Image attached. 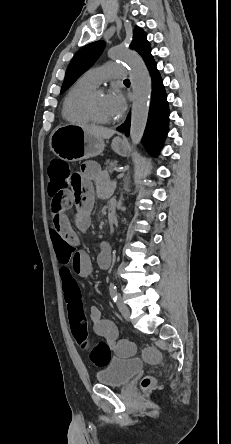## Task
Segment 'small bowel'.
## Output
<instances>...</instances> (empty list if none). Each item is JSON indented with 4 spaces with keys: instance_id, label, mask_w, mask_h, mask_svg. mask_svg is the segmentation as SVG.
<instances>
[{
    "instance_id": "obj_1",
    "label": "small bowel",
    "mask_w": 231,
    "mask_h": 444,
    "mask_svg": "<svg viewBox=\"0 0 231 444\" xmlns=\"http://www.w3.org/2000/svg\"><path fill=\"white\" fill-rule=\"evenodd\" d=\"M114 190L107 173L93 162L82 165L73 185L62 193L58 209L51 208L50 235L58 261L62 264L60 277L64 292L68 297L79 296V289L73 274L87 276L91 271L89 255L78 248V237L72 228L68 210L74 206L73 222L80 230L87 229L91 223V209L95 193L101 198L109 197ZM98 264L108 268L111 261V249L108 244H102L98 255ZM89 317L94 332L109 343L116 342L118 331L114 323L102 316L97 307L89 309Z\"/></svg>"
}]
</instances>
